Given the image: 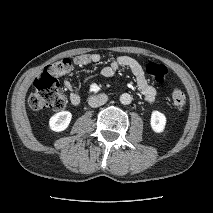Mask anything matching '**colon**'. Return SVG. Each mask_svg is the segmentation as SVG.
I'll return each mask as SVG.
<instances>
[{
    "label": "colon",
    "instance_id": "obj_1",
    "mask_svg": "<svg viewBox=\"0 0 213 213\" xmlns=\"http://www.w3.org/2000/svg\"><path fill=\"white\" fill-rule=\"evenodd\" d=\"M70 59H59L49 64L44 71L37 77L34 90L29 96V106L33 110H62L67 103L65 94L60 90L57 77L66 74L71 69ZM146 72L156 83H162L167 75V68L162 64L149 63ZM172 104L175 109L183 110L186 105V96L175 89L171 94Z\"/></svg>",
    "mask_w": 213,
    "mask_h": 213
}]
</instances>
